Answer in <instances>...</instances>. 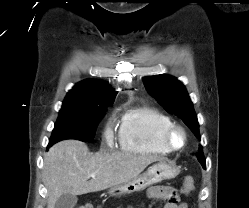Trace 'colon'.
Wrapping results in <instances>:
<instances>
[{"label": "colon", "instance_id": "colon-1", "mask_svg": "<svg viewBox=\"0 0 249 208\" xmlns=\"http://www.w3.org/2000/svg\"><path fill=\"white\" fill-rule=\"evenodd\" d=\"M194 189V178L192 176H186L183 186H182V192L184 194H190ZM78 208H92L91 205L85 204L81 205Z\"/></svg>", "mask_w": 249, "mask_h": 208}]
</instances>
